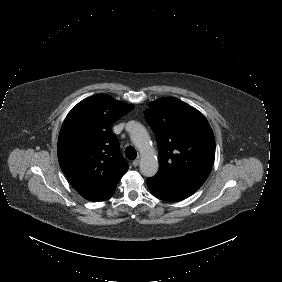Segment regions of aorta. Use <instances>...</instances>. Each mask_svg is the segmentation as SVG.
Segmentation results:
<instances>
[{
    "label": "aorta",
    "mask_w": 282,
    "mask_h": 282,
    "mask_svg": "<svg viewBox=\"0 0 282 282\" xmlns=\"http://www.w3.org/2000/svg\"><path fill=\"white\" fill-rule=\"evenodd\" d=\"M126 130L130 134L132 143L141 153L140 172L146 177H153L158 171L159 163L146 128L136 121H129Z\"/></svg>",
    "instance_id": "obj_1"
}]
</instances>
